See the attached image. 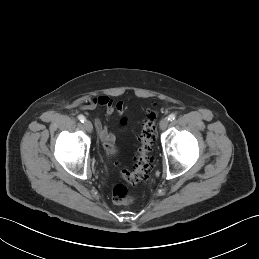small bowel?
<instances>
[{
  "instance_id": "obj_1",
  "label": "small bowel",
  "mask_w": 259,
  "mask_h": 259,
  "mask_svg": "<svg viewBox=\"0 0 259 259\" xmlns=\"http://www.w3.org/2000/svg\"><path fill=\"white\" fill-rule=\"evenodd\" d=\"M98 106L104 109L107 117L114 114L121 117L124 112V103L122 101L114 102L108 96H99L84 103V107L87 109H94ZM95 127L100 140L104 143L105 150L110 152L115 142V134L103 122L101 117H96Z\"/></svg>"
}]
</instances>
